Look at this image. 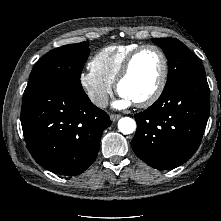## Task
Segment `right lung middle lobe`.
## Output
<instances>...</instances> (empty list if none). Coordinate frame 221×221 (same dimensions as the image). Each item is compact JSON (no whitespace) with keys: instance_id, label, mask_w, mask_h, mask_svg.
I'll return each mask as SVG.
<instances>
[{"instance_id":"right-lung-middle-lobe-1","label":"right lung middle lobe","mask_w":221,"mask_h":221,"mask_svg":"<svg viewBox=\"0 0 221 221\" xmlns=\"http://www.w3.org/2000/svg\"><path fill=\"white\" fill-rule=\"evenodd\" d=\"M87 42L64 45L46 53L35 65L29 83L45 84L54 88H82L80 76L90 49Z\"/></svg>"}]
</instances>
